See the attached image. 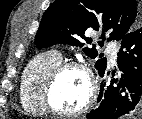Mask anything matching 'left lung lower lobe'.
I'll return each mask as SVG.
<instances>
[{
  "label": "left lung lower lobe",
  "instance_id": "1",
  "mask_svg": "<svg viewBox=\"0 0 142 119\" xmlns=\"http://www.w3.org/2000/svg\"><path fill=\"white\" fill-rule=\"evenodd\" d=\"M120 42L117 64L121 76L101 82L100 105L87 114L88 119H119L142 113V26L129 31ZM105 73L106 69L99 75Z\"/></svg>",
  "mask_w": 142,
  "mask_h": 119
}]
</instances>
